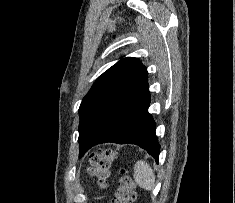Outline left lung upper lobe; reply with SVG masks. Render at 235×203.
<instances>
[{
    "label": "left lung upper lobe",
    "instance_id": "left-lung-upper-lobe-1",
    "mask_svg": "<svg viewBox=\"0 0 235 203\" xmlns=\"http://www.w3.org/2000/svg\"><path fill=\"white\" fill-rule=\"evenodd\" d=\"M147 76L146 67L137 58L127 57L119 60L94 82L79 108V157L85 154L91 141L103 132Z\"/></svg>",
    "mask_w": 235,
    "mask_h": 203
}]
</instances>
